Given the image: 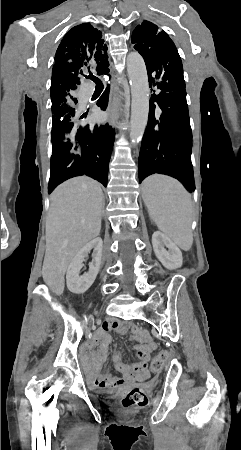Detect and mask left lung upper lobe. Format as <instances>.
<instances>
[{"label":"left lung upper lobe","mask_w":241,"mask_h":450,"mask_svg":"<svg viewBox=\"0 0 241 450\" xmlns=\"http://www.w3.org/2000/svg\"><path fill=\"white\" fill-rule=\"evenodd\" d=\"M131 42L145 61H151L158 58L172 40L155 24L144 21L133 31Z\"/></svg>","instance_id":"left-lung-upper-lobe-1"}]
</instances>
